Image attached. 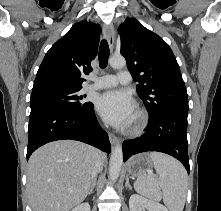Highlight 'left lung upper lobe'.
<instances>
[{
  "label": "left lung upper lobe",
  "mask_w": 221,
  "mask_h": 211,
  "mask_svg": "<svg viewBox=\"0 0 221 211\" xmlns=\"http://www.w3.org/2000/svg\"><path fill=\"white\" fill-rule=\"evenodd\" d=\"M121 54L136 81L137 93L150 117L188 111V96L179 65L169 45L134 18L119 26Z\"/></svg>",
  "instance_id": "left-lung-upper-lobe-1"
}]
</instances>
